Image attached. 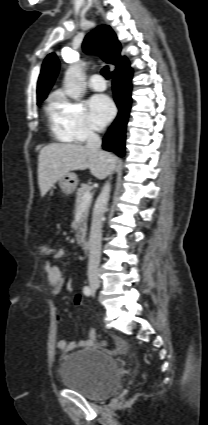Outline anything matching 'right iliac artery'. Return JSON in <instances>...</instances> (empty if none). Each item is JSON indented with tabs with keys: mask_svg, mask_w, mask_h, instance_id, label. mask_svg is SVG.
Masks as SVG:
<instances>
[{
	"mask_svg": "<svg viewBox=\"0 0 208 425\" xmlns=\"http://www.w3.org/2000/svg\"><path fill=\"white\" fill-rule=\"evenodd\" d=\"M83 292L86 296H90L92 294V291L88 286L84 287Z\"/></svg>",
	"mask_w": 208,
	"mask_h": 425,
	"instance_id": "1",
	"label": "right iliac artery"
}]
</instances>
